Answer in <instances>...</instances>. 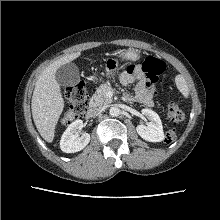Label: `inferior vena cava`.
Listing matches in <instances>:
<instances>
[{"instance_id":"obj_1","label":"inferior vena cava","mask_w":220,"mask_h":220,"mask_svg":"<svg viewBox=\"0 0 220 220\" xmlns=\"http://www.w3.org/2000/svg\"><path fill=\"white\" fill-rule=\"evenodd\" d=\"M103 111V108H91L89 113L91 115H99Z\"/></svg>"}]
</instances>
